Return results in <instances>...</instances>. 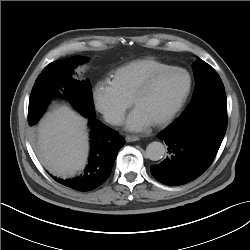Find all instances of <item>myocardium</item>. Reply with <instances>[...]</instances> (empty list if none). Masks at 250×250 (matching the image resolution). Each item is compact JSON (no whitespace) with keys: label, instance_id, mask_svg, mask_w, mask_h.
Here are the masks:
<instances>
[{"label":"myocardium","instance_id":"obj_1","mask_svg":"<svg viewBox=\"0 0 250 250\" xmlns=\"http://www.w3.org/2000/svg\"><path fill=\"white\" fill-rule=\"evenodd\" d=\"M172 71H180V72L185 73V75L187 76V87H186L183 95L181 96V98L177 102V104L172 108V110L168 114H166L163 118H161L158 121L153 123V125L156 127H162V126H165L168 123H170L175 118V116L182 110L184 105L186 104V102L190 96V93L192 90V84H193L192 76H191L190 72L187 69L180 67V66H168V67H165L163 69H160V70L152 73L150 76H148L146 78V80L136 90V92L132 98V103L135 106L138 99L141 98L142 96H144L147 92H149L150 89L155 84V82L161 76H163L164 74H166L168 72H172Z\"/></svg>","mask_w":250,"mask_h":250}]
</instances>
